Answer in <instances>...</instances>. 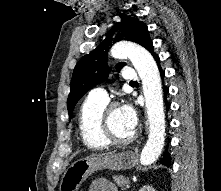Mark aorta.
I'll return each mask as SVG.
<instances>
[{
  "instance_id": "1",
  "label": "aorta",
  "mask_w": 221,
  "mask_h": 191,
  "mask_svg": "<svg viewBox=\"0 0 221 191\" xmlns=\"http://www.w3.org/2000/svg\"><path fill=\"white\" fill-rule=\"evenodd\" d=\"M111 55L116 59L129 58L142 80L149 135L141 152L140 162L143 165L152 164L160 156L165 140V113L159 69L145 48L130 42L114 44Z\"/></svg>"
}]
</instances>
